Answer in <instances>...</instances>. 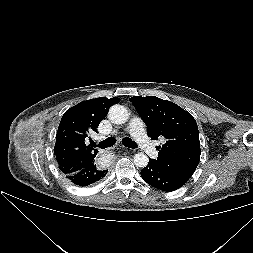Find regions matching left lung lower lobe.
Listing matches in <instances>:
<instances>
[{"mask_svg":"<svg viewBox=\"0 0 253 253\" xmlns=\"http://www.w3.org/2000/svg\"><path fill=\"white\" fill-rule=\"evenodd\" d=\"M141 176L149 185L162 191H174L182 187L185 182L163 169L153 159L141 170Z\"/></svg>","mask_w":253,"mask_h":253,"instance_id":"1","label":"left lung lower lobe"}]
</instances>
